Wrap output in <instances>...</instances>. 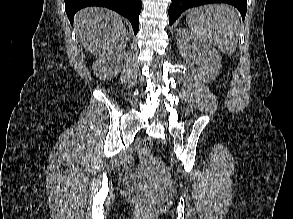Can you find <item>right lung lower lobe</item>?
<instances>
[{"mask_svg":"<svg viewBox=\"0 0 293 219\" xmlns=\"http://www.w3.org/2000/svg\"><path fill=\"white\" fill-rule=\"evenodd\" d=\"M87 6H102L118 12L131 22L134 34L138 32L141 0H65V9L71 24L74 14Z\"/></svg>","mask_w":293,"mask_h":219,"instance_id":"obj_1","label":"right lung lower lobe"}]
</instances>
